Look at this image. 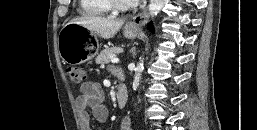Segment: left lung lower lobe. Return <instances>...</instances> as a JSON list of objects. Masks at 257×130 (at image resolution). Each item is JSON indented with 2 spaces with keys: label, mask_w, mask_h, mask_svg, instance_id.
<instances>
[{
  "label": "left lung lower lobe",
  "mask_w": 257,
  "mask_h": 130,
  "mask_svg": "<svg viewBox=\"0 0 257 130\" xmlns=\"http://www.w3.org/2000/svg\"><path fill=\"white\" fill-rule=\"evenodd\" d=\"M148 29H149L150 31H153L152 23H149V25H148Z\"/></svg>",
  "instance_id": "obj_1"
}]
</instances>
